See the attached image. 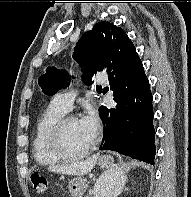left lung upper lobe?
I'll use <instances>...</instances> for the list:
<instances>
[{"instance_id": "5c2ea615", "label": "left lung upper lobe", "mask_w": 191, "mask_h": 197, "mask_svg": "<svg viewBox=\"0 0 191 197\" xmlns=\"http://www.w3.org/2000/svg\"><path fill=\"white\" fill-rule=\"evenodd\" d=\"M73 58L85 67L83 80L90 84L92 76L104 67H112V73L134 71L142 66L132 41L122 28L109 22H99L91 31L83 34L75 47ZM111 68L108 69L110 72ZM70 77L54 67L39 78V85L47 95L58 92L60 85L67 86Z\"/></svg>"}]
</instances>
